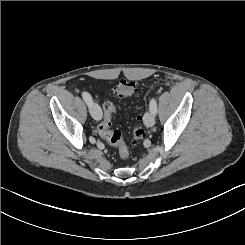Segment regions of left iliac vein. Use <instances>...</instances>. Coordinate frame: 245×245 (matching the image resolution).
<instances>
[{
	"label": "left iliac vein",
	"mask_w": 245,
	"mask_h": 245,
	"mask_svg": "<svg viewBox=\"0 0 245 245\" xmlns=\"http://www.w3.org/2000/svg\"><path fill=\"white\" fill-rule=\"evenodd\" d=\"M144 123L146 124L147 127H152L155 124V117L151 111L145 113Z\"/></svg>",
	"instance_id": "1"
}]
</instances>
